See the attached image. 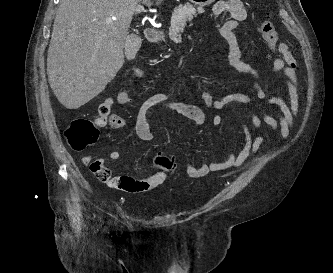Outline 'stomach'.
Here are the masks:
<instances>
[{"label": "stomach", "instance_id": "obj_1", "mask_svg": "<svg viewBox=\"0 0 333 273\" xmlns=\"http://www.w3.org/2000/svg\"><path fill=\"white\" fill-rule=\"evenodd\" d=\"M194 5L198 6H207L213 3L215 0H189Z\"/></svg>", "mask_w": 333, "mask_h": 273}]
</instances>
